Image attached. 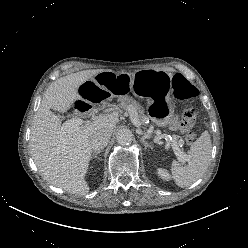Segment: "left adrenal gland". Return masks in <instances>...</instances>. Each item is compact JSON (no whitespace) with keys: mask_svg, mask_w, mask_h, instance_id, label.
<instances>
[{"mask_svg":"<svg viewBox=\"0 0 248 248\" xmlns=\"http://www.w3.org/2000/svg\"><path fill=\"white\" fill-rule=\"evenodd\" d=\"M141 142L144 144L145 149H147V148H152V147L147 143V141H145L143 138H141Z\"/></svg>","mask_w":248,"mask_h":248,"instance_id":"left-adrenal-gland-1","label":"left adrenal gland"}]
</instances>
